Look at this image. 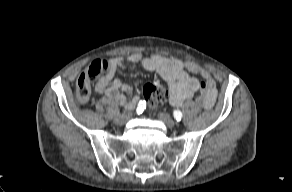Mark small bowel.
Wrapping results in <instances>:
<instances>
[{"instance_id":"1","label":"small bowel","mask_w":292,"mask_h":192,"mask_svg":"<svg viewBox=\"0 0 292 192\" xmlns=\"http://www.w3.org/2000/svg\"><path fill=\"white\" fill-rule=\"evenodd\" d=\"M109 70L99 78L96 91L105 94L125 109H132L138 101L132 86L114 78L117 70H124L134 64L144 70L157 73L168 85L171 105L180 107L186 100L199 93L198 100L205 108H211L217 97L215 81L211 74L193 62L165 57L159 54L144 56L134 53L110 61ZM194 75H199L201 81Z\"/></svg>"}]
</instances>
